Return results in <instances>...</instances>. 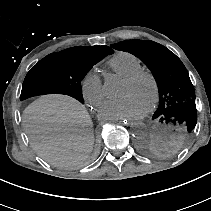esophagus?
I'll return each mask as SVG.
<instances>
[{
  "mask_svg": "<svg viewBox=\"0 0 211 211\" xmlns=\"http://www.w3.org/2000/svg\"><path fill=\"white\" fill-rule=\"evenodd\" d=\"M118 123L122 124L123 126H129L131 124V119L130 118L119 117L118 118Z\"/></svg>",
  "mask_w": 211,
  "mask_h": 211,
  "instance_id": "1",
  "label": "esophagus"
}]
</instances>
